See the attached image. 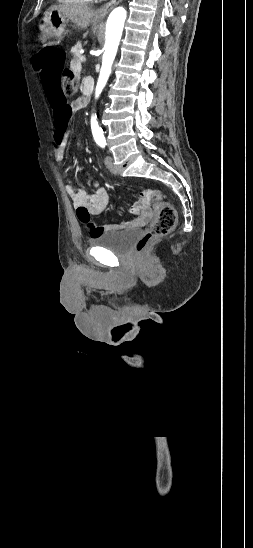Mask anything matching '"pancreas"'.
Wrapping results in <instances>:
<instances>
[{
	"label": "pancreas",
	"mask_w": 253,
	"mask_h": 548,
	"mask_svg": "<svg viewBox=\"0 0 253 548\" xmlns=\"http://www.w3.org/2000/svg\"><path fill=\"white\" fill-rule=\"evenodd\" d=\"M81 48H82L81 43H78L77 45H75V46L72 47V49H71V53L73 54L74 59H75L76 61H81V60H80V58H81V56H82V55H81V52H80Z\"/></svg>",
	"instance_id": "obj_1"
}]
</instances>
